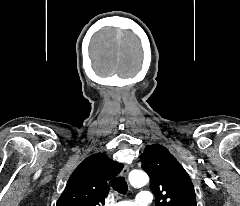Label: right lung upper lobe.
<instances>
[{
	"label": "right lung upper lobe",
	"instance_id": "obj_1",
	"mask_svg": "<svg viewBox=\"0 0 240 206\" xmlns=\"http://www.w3.org/2000/svg\"><path fill=\"white\" fill-rule=\"evenodd\" d=\"M123 166L102 153L87 157L70 176L56 206H100L109 191L108 180Z\"/></svg>",
	"mask_w": 240,
	"mask_h": 206
}]
</instances>
